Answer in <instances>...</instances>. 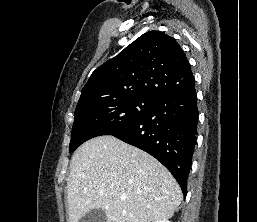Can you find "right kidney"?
<instances>
[{
	"mask_svg": "<svg viewBox=\"0 0 257 222\" xmlns=\"http://www.w3.org/2000/svg\"><path fill=\"white\" fill-rule=\"evenodd\" d=\"M155 222H170L168 220H158V221H155Z\"/></svg>",
	"mask_w": 257,
	"mask_h": 222,
	"instance_id": "ca27d5eb",
	"label": "right kidney"
}]
</instances>
